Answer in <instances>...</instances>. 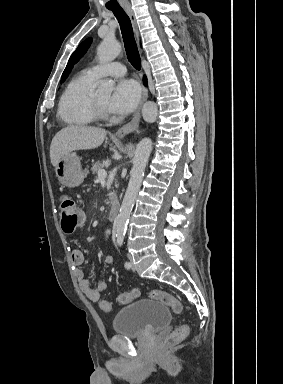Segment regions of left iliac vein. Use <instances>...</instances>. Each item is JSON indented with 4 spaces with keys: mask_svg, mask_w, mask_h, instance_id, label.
Here are the masks:
<instances>
[{
    "mask_svg": "<svg viewBox=\"0 0 283 384\" xmlns=\"http://www.w3.org/2000/svg\"><path fill=\"white\" fill-rule=\"evenodd\" d=\"M128 259H129V261H130V264H131V269L132 270H135V268H134V265H133V259H132V256L130 255V254H128Z\"/></svg>",
    "mask_w": 283,
    "mask_h": 384,
    "instance_id": "left-iliac-vein-1",
    "label": "left iliac vein"
}]
</instances>
